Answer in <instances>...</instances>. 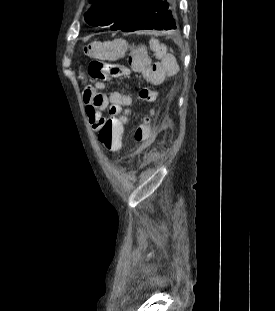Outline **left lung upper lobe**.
Here are the masks:
<instances>
[{"label":"left lung upper lobe","mask_w":275,"mask_h":311,"mask_svg":"<svg viewBox=\"0 0 275 311\" xmlns=\"http://www.w3.org/2000/svg\"><path fill=\"white\" fill-rule=\"evenodd\" d=\"M145 0H91L85 21L93 26L110 25L111 30L123 28L138 6Z\"/></svg>","instance_id":"obj_1"}]
</instances>
